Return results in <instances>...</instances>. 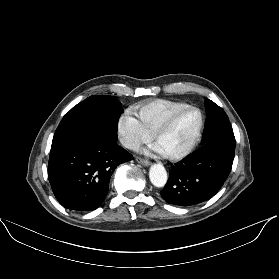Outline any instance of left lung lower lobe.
<instances>
[{
  "label": "left lung lower lobe",
  "instance_id": "left-lung-lower-lobe-1",
  "mask_svg": "<svg viewBox=\"0 0 279 279\" xmlns=\"http://www.w3.org/2000/svg\"><path fill=\"white\" fill-rule=\"evenodd\" d=\"M235 146L210 141L183 161L171 167L170 176L160 192L170 204L190 206L214 196L227 179Z\"/></svg>",
  "mask_w": 279,
  "mask_h": 279
}]
</instances>
